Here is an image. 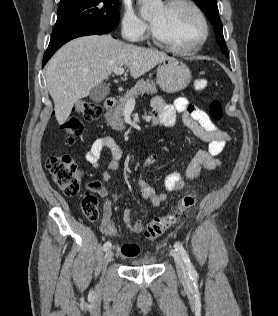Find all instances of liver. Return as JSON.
Instances as JSON below:
<instances>
[{
	"label": "liver",
	"instance_id": "liver-1",
	"mask_svg": "<svg viewBox=\"0 0 278 316\" xmlns=\"http://www.w3.org/2000/svg\"><path fill=\"white\" fill-rule=\"evenodd\" d=\"M168 58L166 53L124 43L111 35H90L70 41L46 67L47 87L58 123H65L74 104L87 97L115 69L126 66L136 79Z\"/></svg>",
	"mask_w": 278,
	"mask_h": 316
}]
</instances>
